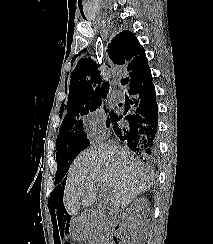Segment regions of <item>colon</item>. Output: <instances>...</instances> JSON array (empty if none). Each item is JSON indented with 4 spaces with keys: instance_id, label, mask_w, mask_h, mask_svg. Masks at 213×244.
<instances>
[{
    "instance_id": "obj_1",
    "label": "colon",
    "mask_w": 213,
    "mask_h": 244,
    "mask_svg": "<svg viewBox=\"0 0 213 244\" xmlns=\"http://www.w3.org/2000/svg\"><path fill=\"white\" fill-rule=\"evenodd\" d=\"M62 244H73V243H72V242L67 241V242H64V243H62Z\"/></svg>"
}]
</instances>
